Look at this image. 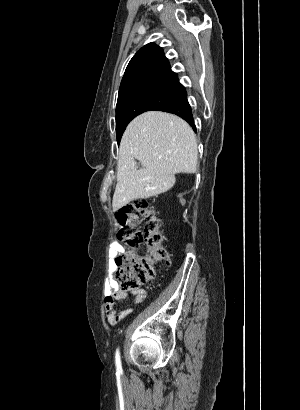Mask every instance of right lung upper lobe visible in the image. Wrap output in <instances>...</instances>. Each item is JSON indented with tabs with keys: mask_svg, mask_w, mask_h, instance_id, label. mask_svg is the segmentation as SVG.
Segmentation results:
<instances>
[{
	"mask_svg": "<svg viewBox=\"0 0 300 410\" xmlns=\"http://www.w3.org/2000/svg\"><path fill=\"white\" fill-rule=\"evenodd\" d=\"M178 82L162 48L149 43L130 60L119 91L139 83Z\"/></svg>",
	"mask_w": 300,
	"mask_h": 410,
	"instance_id": "1",
	"label": "right lung upper lobe"
}]
</instances>
